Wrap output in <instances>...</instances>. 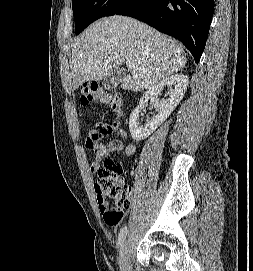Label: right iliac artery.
Masks as SVG:
<instances>
[{
    "label": "right iliac artery",
    "instance_id": "obj_1",
    "mask_svg": "<svg viewBox=\"0 0 253 271\" xmlns=\"http://www.w3.org/2000/svg\"><path fill=\"white\" fill-rule=\"evenodd\" d=\"M126 234H127V227L125 226V227H123V228L121 229V231H120V233H119V237H118V245H119V246H122L123 241H124V239H125V237H126Z\"/></svg>",
    "mask_w": 253,
    "mask_h": 271
}]
</instances>
